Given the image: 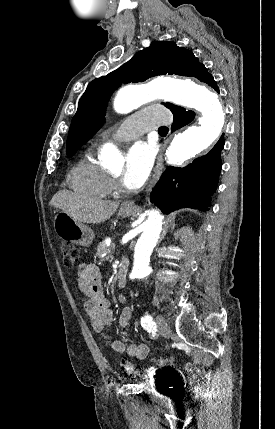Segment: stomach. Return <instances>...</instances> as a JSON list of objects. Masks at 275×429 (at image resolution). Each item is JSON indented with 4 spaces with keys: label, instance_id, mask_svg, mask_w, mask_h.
<instances>
[{
    "label": "stomach",
    "instance_id": "0dacf381",
    "mask_svg": "<svg viewBox=\"0 0 275 429\" xmlns=\"http://www.w3.org/2000/svg\"><path fill=\"white\" fill-rule=\"evenodd\" d=\"M135 212V208L122 205L118 215L130 216ZM53 226L56 234L63 240L76 243L81 246H89L93 239L94 233L91 228L73 220L67 213L58 212L53 220Z\"/></svg>",
    "mask_w": 275,
    "mask_h": 429
}]
</instances>
